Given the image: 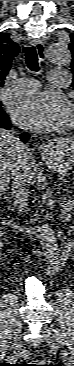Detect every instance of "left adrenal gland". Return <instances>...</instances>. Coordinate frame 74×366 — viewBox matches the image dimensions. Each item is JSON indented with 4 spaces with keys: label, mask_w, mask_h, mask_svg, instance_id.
<instances>
[{
    "label": "left adrenal gland",
    "mask_w": 74,
    "mask_h": 366,
    "mask_svg": "<svg viewBox=\"0 0 74 366\" xmlns=\"http://www.w3.org/2000/svg\"><path fill=\"white\" fill-rule=\"evenodd\" d=\"M69 200L67 199V197H64V201L63 203L61 204V206L64 208L62 211L63 213H65L67 210H68V207H69Z\"/></svg>",
    "instance_id": "1"
}]
</instances>
